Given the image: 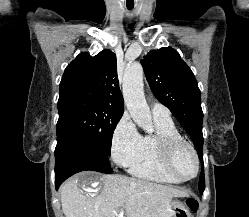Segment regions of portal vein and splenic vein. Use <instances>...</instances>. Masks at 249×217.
<instances>
[{"label": "portal vein and splenic vein", "instance_id": "18ae733b", "mask_svg": "<svg viewBox=\"0 0 249 217\" xmlns=\"http://www.w3.org/2000/svg\"><path fill=\"white\" fill-rule=\"evenodd\" d=\"M119 217H123V211L121 210Z\"/></svg>", "mask_w": 249, "mask_h": 217}]
</instances>
